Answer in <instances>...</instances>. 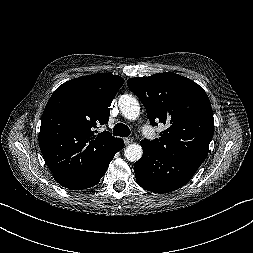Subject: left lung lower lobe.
Returning <instances> with one entry per match:
<instances>
[{
    "label": "left lung lower lobe",
    "instance_id": "1",
    "mask_svg": "<svg viewBox=\"0 0 253 253\" xmlns=\"http://www.w3.org/2000/svg\"><path fill=\"white\" fill-rule=\"evenodd\" d=\"M140 144L143 155L134 165L136 181L142 188L154 193H168L184 186L202 164L196 159L169 163L144 141Z\"/></svg>",
    "mask_w": 253,
    "mask_h": 253
}]
</instances>
